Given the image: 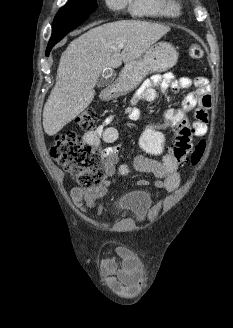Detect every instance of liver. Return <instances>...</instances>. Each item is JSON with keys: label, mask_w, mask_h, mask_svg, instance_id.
Instances as JSON below:
<instances>
[{"label": "liver", "mask_w": 233, "mask_h": 328, "mask_svg": "<svg viewBox=\"0 0 233 328\" xmlns=\"http://www.w3.org/2000/svg\"><path fill=\"white\" fill-rule=\"evenodd\" d=\"M170 28L139 20H121L95 27L74 39L62 53L56 84L43 109V128L58 133L92 102L94 86L104 69L140 58ZM123 43L124 48H118Z\"/></svg>", "instance_id": "liver-1"}]
</instances>
